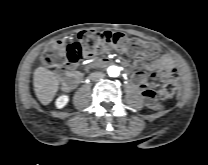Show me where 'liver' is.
I'll use <instances>...</instances> for the list:
<instances>
[{
  "label": "liver",
  "instance_id": "liver-1",
  "mask_svg": "<svg viewBox=\"0 0 208 165\" xmlns=\"http://www.w3.org/2000/svg\"><path fill=\"white\" fill-rule=\"evenodd\" d=\"M33 85L38 100L41 104L48 105L58 91L59 81L53 72L40 66L34 72Z\"/></svg>",
  "mask_w": 208,
  "mask_h": 165
}]
</instances>
